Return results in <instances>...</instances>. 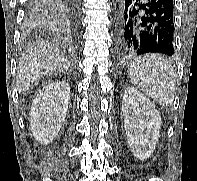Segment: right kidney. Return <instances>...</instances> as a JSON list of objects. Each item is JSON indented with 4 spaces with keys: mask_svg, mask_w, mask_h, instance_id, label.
Segmentation results:
<instances>
[{
    "mask_svg": "<svg viewBox=\"0 0 197 181\" xmlns=\"http://www.w3.org/2000/svg\"><path fill=\"white\" fill-rule=\"evenodd\" d=\"M70 98L66 81L45 85L31 106V132L36 141L47 145L53 141L65 121Z\"/></svg>",
    "mask_w": 197,
    "mask_h": 181,
    "instance_id": "ca27d5eb",
    "label": "right kidney"
}]
</instances>
